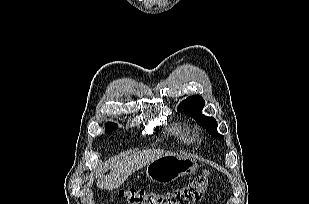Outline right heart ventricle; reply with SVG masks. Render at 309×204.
Returning a JSON list of instances; mask_svg holds the SVG:
<instances>
[{
    "instance_id": "e07e8e85",
    "label": "right heart ventricle",
    "mask_w": 309,
    "mask_h": 204,
    "mask_svg": "<svg viewBox=\"0 0 309 204\" xmlns=\"http://www.w3.org/2000/svg\"><path fill=\"white\" fill-rule=\"evenodd\" d=\"M177 132H178V134H179V135H181L182 137H185V134H184V132H183V131H181V130H177Z\"/></svg>"
}]
</instances>
